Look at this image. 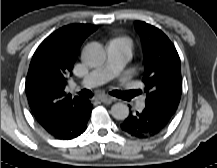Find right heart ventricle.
Returning a JSON list of instances; mask_svg holds the SVG:
<instances>
[{
    "instance_id": "obj_1",
    "label": "right heart ventricle",
    "mask_w": 217,
    "mask_h": 168,
    "mask_svg": "<svg viewBox=\"0 0 217 168\" xmlns=\"http://www.w3.org/2000/svg\"><path fill=\"white\" fill-rule=\"evenodd\" d=\"M113 41H123V42L127 43V45L131 49V41L126 37H118V38L114 39Z\"/></svg>"
}]
</instances>
